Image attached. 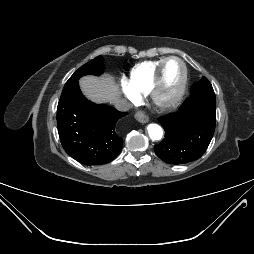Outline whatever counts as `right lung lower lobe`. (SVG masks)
I'll return each instance as SVG.
<instances>
[{"mask_svg": "<svg viewBox=\"0 0 254 254\" xmlns=\"http://www.w3.org/2000/svg\"><path fill=\"white\" fill-rule=\"evenodd\" d=\"M125 115L126 112L88 101L78 80L66 83L57 107V128L64 150L85 165L112 161L123 143L116 124Z\"/></svg>", "mask_w": 254, "mask_h": 254, "instance_id": "obj_1", "label": "right lung lower lobe"}]
</instances>
